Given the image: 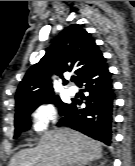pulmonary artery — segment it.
Wrapping results in <instances>:
<instances>
[{"label":"pulmonary artery","mask_w":135,"mask_h":166,"mask_svg":"<svg viewBox=\"0 0 135 166\" xmlns=\"http://www.w3.org/2000/svg\"><path fill=\"white\" fill-rule=\"evenodd\" d=\"M76 92H77V88L76 87H70L68 89V95L69 96H74L76 94Z\"/></svg>","instance_id":"pulmonary-artery-1"}]
</instances>
